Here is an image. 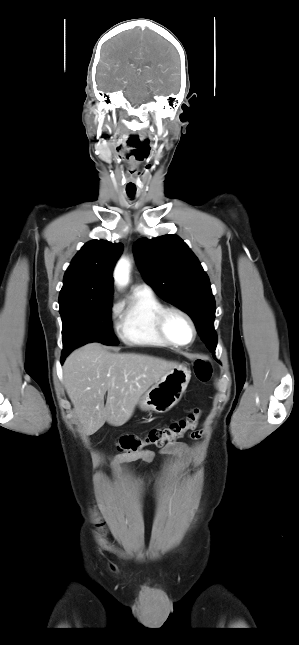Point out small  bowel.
I'll return each mask as SVG.
<instances>
[{"mask_svg": "<svg viewBox=\"0 0 299 645\" xmlns=\"http://www.w3.org/2000/svg\"><path fill=\"white\" fill-rule=\"evenodd\" d=\"M203 435L202 431H196L193 432L191 437L193 439H199ZM160 454L162 455H174L178 456L183 459L189 458L191 455V450L189 446L185 443H171L166 445L164 448L160 450ZM155 457V452L152 450H143L142 452L134 455H130L125 459H116L110 469V473L112 476L117 477L120 475L121 470L119 467V463L121 461H126V462H135V461H144V462H151Z\"/></svg>", "mask_w": 299, "mask_h": 645, "instance_id": "c3829d8e", "label": "small bowel"}]
</instances>
